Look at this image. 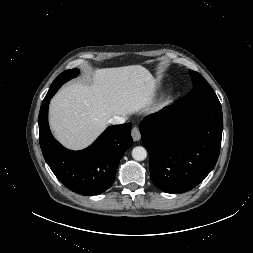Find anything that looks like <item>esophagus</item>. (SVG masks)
<instances>
[{
	"label": "esophagus",
	"instance_id": "obj_1",
	"mask_svg": "<svg viewBox=\"0 0 253 253\" xmlns=\"http://www.w3.org/2000/svg\"><path fill=\"white\" fill-rule=\"evenodd\" d=\"M131 136L133 138L134 141H139L140 138H141V134H140V131H139V128L138 127H133L132 131H131Z\"/></svg>",
	"mask_w": 253,
	"mask_h": 253
}]
</instances>
